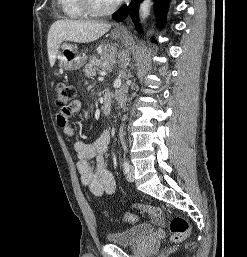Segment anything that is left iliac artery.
<instances>
[{
  "label": "left iliac artery",
  "mask_w": 247,
  "mask_h": 257,
  "mask_svg": "<svg viewBox=\"0 0 247 257\" xmlns=\"http://www.w3.org/2000/svg\"><path fill=\"white\" fill-rule=\"evenodd\" d=\"M129 167H130V165H129L128 160L124 159V161H123V171H124V173H127L129 171Z\"/></svg>",
  "instance_id": "1"
}]
</instances>
